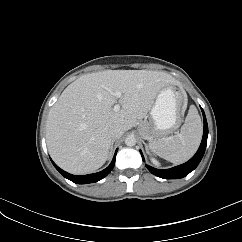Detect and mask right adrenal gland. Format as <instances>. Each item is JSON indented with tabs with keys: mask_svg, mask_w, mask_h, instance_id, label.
I'll use <instances>...</instances> for the list:
<instances>
[{
	"mask_svg": "<svg viewBox=\"0 0 242 242\" xmlns=\"http://www.w3.org/2000/svg\"><path fill=\"white\" fill-rule=\"evenodd\" d=\"M113 145H114V140H113L112 143H111L110 150H112Z\"/></svg>",
	"mask_w": 242,
	"mask_h": 242,
	"instance_id": "2a0ac1e0",
	"label": "right adrenal gland"
}]
</instances>
